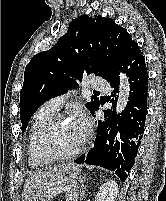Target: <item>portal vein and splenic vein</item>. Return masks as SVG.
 <instances>
[{
  "label": "portal vein and splenic vein",
  "instance_id": "portal-vein-and-splenic-vein-1",
  "mask_svg": "<svg viewBox=\"0 0 166 201\" xmlns=\"http://www.w3.org/2000/svg\"><path fill=\"white\" fill-rule=\"evenodd\" d=\"M71 190V187H65V191L68 192Z\"/></svg>",
  "mask_w": 166,
  "mask_h": 201
}]
</instances>
